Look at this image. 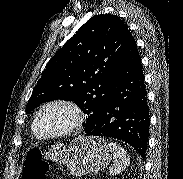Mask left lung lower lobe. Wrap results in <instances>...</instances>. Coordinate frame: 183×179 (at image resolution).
Listing matches in <instances>:
<instances>
[{"mask_svg": "<svg viewBox=\"0 0 183 179\" xmlns=\"http://www.w3.org/2000/svg\"><path fill=\"white\" fill-rule=\"evenodd\" d=\"M149 108L136 41L129 32L103 109L87 135L128 143L145 158L149 136Z\"/></svg>", "mask_w": 183, "mask_h": 179, "instance_id": "1", "label": "left lung lower lobe"}]
</instances>
